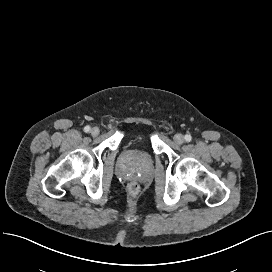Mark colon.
<instances>
[{"instance_id": "5ec220e1", "label": "colon", "mask_w": 272, "mask_h": 272, "mask_svg": "<svg viewBox=\"0 0 272 272\" xmlns=\"http://www.w3.org/2000/svg\"><path fill=\"white\" fill-rule=\"evenodd\" d=\"M129 191L132 194H136L139 191V185L137 183H131L129 185Z\"/></svg>"}]
</instances>
